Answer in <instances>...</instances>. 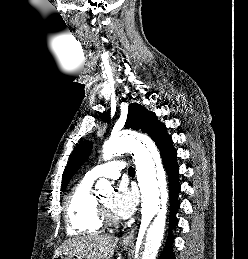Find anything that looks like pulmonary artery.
Returning <instances> with one entry per match:
<instances>
[{
    "mask_svg": "<svg viewBox=\"0 0 248 259\" xmlns=\"http://www.w3.org/2000/svg\"><path fill=\"white\" fill-rule=\"evenodd\" d=\"M124 169L125 162L122 160L111 161L95 166L86 173L85 177L93 181L101 177L117 179Z\"/></svg>",
    "mask_w": 248,
    "mask_h": 259,
    "instance_id": "e3ab8cb5",
    "label": "pulmonary artery"
}]
</instances>
